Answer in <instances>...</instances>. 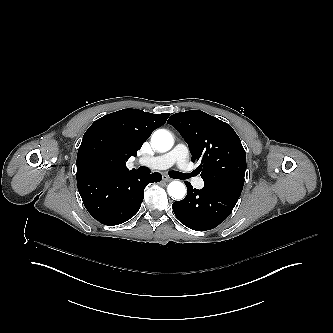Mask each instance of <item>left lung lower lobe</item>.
<instances>
[{"label": "left lung lower lobe", "mask_w": 333, "mask_h": 333, "mask_svg": "<svg viewBox=\"0 0 333 333\" xmlns=\"http://www.w3.org/2000/svg\"><path fill=\"white\" fill-rule=\"evenodd\" d=\"M187 195L173 203L177 219L190 229L206 231L222 223L232 212L241 193L231 189L203 187L193 189L189 182Z\"/></svg>", "instance_id": "0a47b994"}]
</instances>
